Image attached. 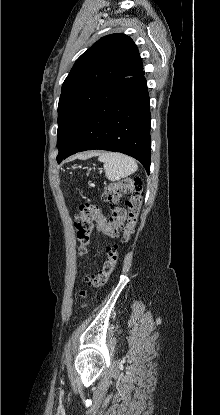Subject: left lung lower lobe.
Wrapping results in <instances>:
<instances>
[{
  "label": "left lung lower lobe",
  "mask_w": 220,
  "mask_h": 415,
  "mask_svg": "<svg viewBox=\"0 0 220 415\" xmlns=\"http://www.w3.org/2000/svg\"><path fill=\"white\" fill-rule=\"evenodd\" d=\"M142 70L114 80L84 119L70 147L57 156L60 163L80 151L109 150L137 159L150 172V106Z\"/></svg>",
  "instance_id": "left-lung-lower-lobe-1"
}]
</instances>
